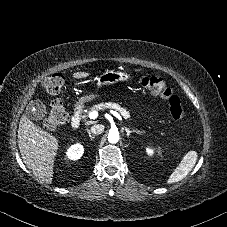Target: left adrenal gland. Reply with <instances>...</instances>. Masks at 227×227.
I'll return each instance as SVG.
<instances>
[{"label":"left adrenal gland","instance_id":"1","mask_svg":"<svg viewBox=\"0 0 227 227\" xmlns=\"http://www.w3.org/2000/svg\"><path fill=\"white\" fill-rule=\"evenodd\" d=\"M125 131L127 132L128 137L130 136L131 133H138V134L141 133V131H139V130H130L127 127H125Z\"/></svg>","mask_w":227,"mask_h":227}]
</instances>
